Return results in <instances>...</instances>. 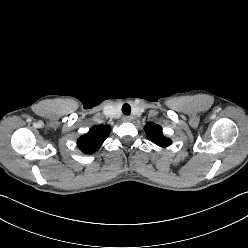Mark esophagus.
<instances>
[{
    "label": "esophagus",
    "mask_w": 248,
    "mask_h": 248,
    "mask_svg": "<svg viewBox=\"0 0 248 248\" xmlns=\"http://www.w3.org/2000/svg\"><path fill=\"white\" fill-rule=\"evenodd\" d=\"M123 121L129 122V121H131V117L126 115L123 117Z\"/></svg>",
    "instance_id": "obj_1"
}]
</instances>
